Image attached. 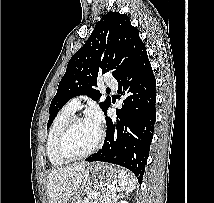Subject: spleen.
Wrapping results in <instances>:
<instances>
[{
    "mask_svg": "<svg viewBox=\"0 0 214 203\" xmlns=\"http://www.w3.org/2000/svg\"><path fill=\"white\" fill-rule=\"evenodd\" d=\"M118 184L123 191L129 193L134 190L136 185V179L126 169H121L118 172Z\"/></svg>",
    "mask_w": 214,
    "mask_h": 203,
    "instance_id": "1",
    "label": "spleen"
}]
</instances>
